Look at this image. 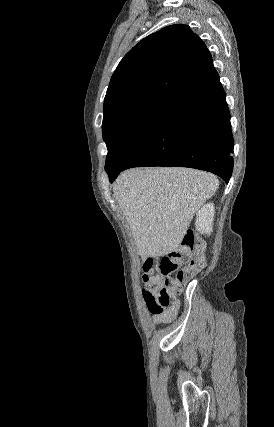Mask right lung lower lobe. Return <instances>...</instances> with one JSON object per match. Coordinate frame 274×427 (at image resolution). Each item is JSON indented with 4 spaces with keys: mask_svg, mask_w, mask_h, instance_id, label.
Returning a JSON list of instances; mask_svg holds the SVG:
<instances>
[{
    "mask_svg": "<svg viewBox=\"0 0 274 427\" xmlns=\"http://www.w3.org/2000/svg\"><path fill=\"white\" fill-rule=\"evenodd\" d=\"M225 97L217 75L176 99L125 163L105 167L110 182L131 167L181 166L212 172L228 183L234 141Z\"/></svg>",
    "mask_w": 274,
    "mask_h": 427,
    "instance_id": "1",
    "label": "right lung lower lobe"
}]
</instances>
